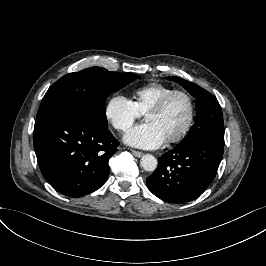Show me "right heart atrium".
Returning a JSON list of instances; mask_svg holds the SVG:
<instances>
[{"mask_svg":"<svg viewBox=\"0 0 266 266\" xmlns=\"http://www.w3.org/2000/svg\"><path fill=\"white\" fill-rule=\"evenodd\" d=\"M104 116L116 130L125 132L140 117V112L131 99L122 94H113L106 101Z\"/></svg>","mask_w":266,"mask_h":266,"instance_id":"obj_1","label":"right heart atrium"}]
</instances>
